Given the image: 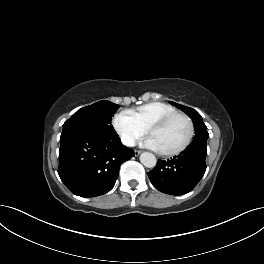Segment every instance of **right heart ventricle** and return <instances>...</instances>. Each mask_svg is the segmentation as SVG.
I'll return each mask as SVG.
<instances>
[{"label": "right heart ventricle", "mask_w": 264, "mask_h": 264, "mask_svg": "<svg viewBox=\"0 0 264 264\" xmlns=\"http://www.w3.org/2000/svg\"><path fill=\"white\" fill-rule=\"evenodd\" d=\"M127 112L140 127L147 131L165 116L176 112V109L165 102H151Z\"/></svg>", "instance_id": "obj_1"}]
</instances>
